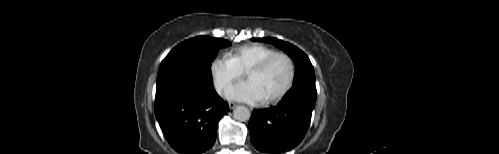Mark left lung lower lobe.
<instances>
[{
	"label": "left lung lower lobe",
	"instance_id": "0a47b994",
	"mask_svg": "<svg viewBox=\"0 0 499 154\" xmlns=\"http://www.w3.org/2000/svg\"><path fill=\"white\" fill-rule=\"evenodd\" d=\"M316 94L313 83L295 85L277 106L253 110L249 121L253 146L274 154L296 147L310 125Z\"/></svg>",
	"mask_w": 499,
	"mask_h": 154
}]
</instances>
